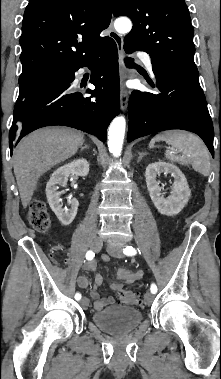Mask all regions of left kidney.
Instances as JSON below:
<instances>
[{"instance_id":"5707ae66","label":"left kidney","mask_w":221,"mask_h":379,"mask_svg":"<svg viewBox=\"0 0 221 379\" xmlns=\"http://www.w3.org/2000/svg\"><path fill=\"white\" fill-rule=\"evenodd\" d=\"M161 173H170L175 179L171 194L167 198L162 196V188L156 179ZM145 177L150 198L159 213L166 216L176 215L188 203L191 191L184 174L177 166L161 161L151 163L146 168Z\"/></svg>"}]
</instances>
